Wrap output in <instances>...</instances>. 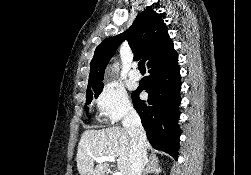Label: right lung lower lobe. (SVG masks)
Listing matches in <instances>:
<instances>
[{
	"label": "right lung lower lobe",
	"mask_w": 251,
	"mask_h": 175,
	"mask_svg": "<svg viewBox=\"0 0 251 175\" xmlns=\"http://www.w3.org/2000/svg\"><path fill=\"white\" fill-rule=\"evenodd\" d=\"M148 72L149 76L142 79L132 93L134 107L151 145L177 160L181 133L177 124L181 101L178 54L163 64L150 67ZM141 91L148 93L147 100L139 98Z\"/></svg>",
	"instance_id": "right-lung-lower-lobe-1"
}]
</instances>
